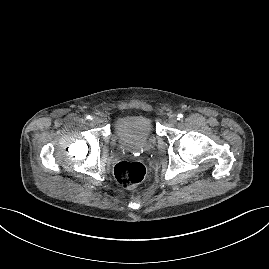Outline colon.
Segmentation results:
<instances>
[{
  "label": "colon",
  "mask_w": 269,
  "mask_h": 269,
  "mask_svg": "<svg viewBox=\"0 0 269 269\" xmlns=\"http://www.w3.org/2000/svg\"><path fill=\"white\" fill-rule=\"evenodd\" d=\"M145 167L138 161H121L114 168L116 181L127 188L139 184L145 177Z\"/></svg>",
  "instance_id": "1"
}]
</instances>
